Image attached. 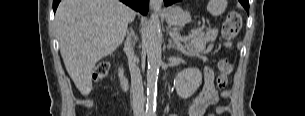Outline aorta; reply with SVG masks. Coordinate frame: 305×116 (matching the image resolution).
Segmentation results:
<instances>
[{
  "label": "aorta",
  "mask_w": 305,
  "mask_h": 116,
  "mask_svg": "<svg viewBox=\"0 0 305 116\" xmlns=\"http://www.w3.org/2000/svg\"><path fill=\"white\" fill-rule=\"evenodd\" d=\"M144 45L147 52L148 62L146 111L148 114H152L156 109L157 81L159 68L162 62V35L160 20L156 13L152 14L148 21L145 30Z\"/></svg>",
  "instance_id": "aorta-1"
}]
</instances>
